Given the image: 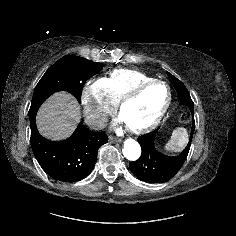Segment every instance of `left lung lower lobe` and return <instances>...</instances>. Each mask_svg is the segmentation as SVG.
<instances>
[{"mask_svg":"<svg viewBox=\"0 0 236 236\" xmlns=\"http://www.w3.org/2000/svg\"><path fill=\"white\" fill-rule=\"evenodd\" d=\"M180 104L187 106L193 117V124L189 143L186 148L177 156H168L155 148V136L157 130L137 138L141 146V156L129 164L131 172L140 180L149 183H163L171 179L181 169L189 153L191 140L195 130L193 101L192 99H181ZM189 114V113H188Z\"/></svg>","mask_w":236,"mask_h":236,"instance_id":"left-lung-lower-lobe-1","label":"left lung lower lobe"}]
</instances>
